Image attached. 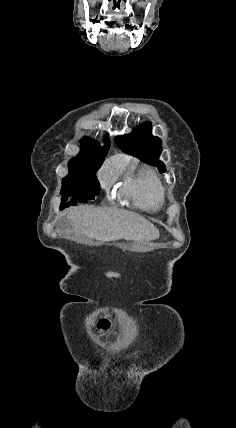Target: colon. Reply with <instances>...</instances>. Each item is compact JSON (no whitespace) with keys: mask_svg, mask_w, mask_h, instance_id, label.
I'll return each instance as SVG.
<instances>
[{"mask_svg":"<svg viewBox=\"0 0 236 428\" xmlns=\"http://www.w3.org/2000/svg\"><path fill=\"white\" fill-rule=\"evenodd\" d=\"M98 327L101 328L102 330H106L109 327V322L103 321L98 325Z\"/></svg>","mask_w":236,"mask_h":428,"instance_id":"1","label":"colon"}]
</instances>
